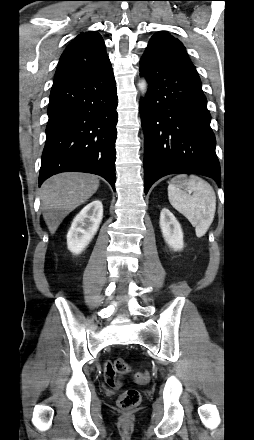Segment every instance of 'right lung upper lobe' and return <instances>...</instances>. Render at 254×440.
<instances>
[{"label": "right lung upper lobe", "instance_id": "right-lung-upper-lobe-1", "mask_svg": "<svg viewBox=\"0 0 254 440\" xmlns=\"http://www.w3.org/2000/svg\"><path fill=\"white\" fill-rule=\"evenodd\" d=\"M105 48L104 41L97 32L79 34L63 52L54 83L100 69L110 63Z\"/></svg>", "mask_w": 254, "mask_h": 440}]
</instances>
